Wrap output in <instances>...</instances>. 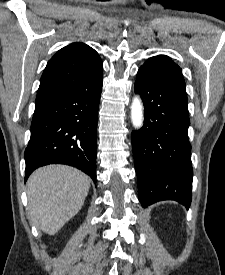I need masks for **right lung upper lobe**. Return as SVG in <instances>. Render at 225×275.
<instances>
[{
    "label": "right lung upper lobe",
    "instance_id": "right-lung-upper-lobe-1",
    "mask_svg": "<svg viewBox=\"0 0 225 275\" xmlns=\"http://www.w3.org/2000/svg\"><path fill=\"white\" fill-rule=\"evenodd\" d=\"M102 71V61L93 48L81 42L72 43L48 61L36 100L67 91L91 90Z\"/></svg>",
    "mask_w": 225,
    "mask_h": 275
}]
</instances>
